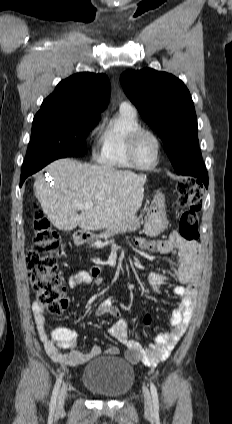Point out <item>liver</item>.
I'll list each match as a JSON object with an SVG mask.
<instances>
[{"label":"liver","mask_w":232,"mask_h":424,"mask_svg":"<svg viewBox=\"0 0 232 424\" xmlns=\"http://www.w3.org/2000/svg\"><path fill=\"white\" fill-rule=\"evenodd\" d=\"M46 170L52 183L39 176L35 196L43 212L59 230L107 229L135 215L144 197L146 175L111 166L89 165L69 158L58 159ZM93 202L78 214L77 203Z\"/></svg>","instance_id":"1"}]
</instances>
